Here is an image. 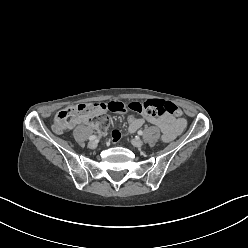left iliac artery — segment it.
<instances>
[{
  "mask_svg": "<svg viewBox=\"0 0 248 248\" xmlns=\"http://www.w3.org/2000/svg\"><path fill=\"white\" fill-rule=\"evenodd\" d=\"M143 132L141 130L138 131V135H142Z\"/></svg>",
  "mask_w": 248,
  "mask_h": 248,
  "instance_id": "44dca946",
  "label": "left iliac artery"
}]
</instances>
